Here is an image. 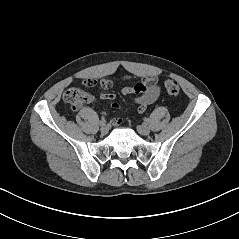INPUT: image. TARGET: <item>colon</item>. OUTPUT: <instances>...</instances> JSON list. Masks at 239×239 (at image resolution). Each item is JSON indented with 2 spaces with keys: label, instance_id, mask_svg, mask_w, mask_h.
<instances>
[{
  "label": "colon",
  "instance_id": "obj_1",
  "mask_svg": "<svg viewBox=\"0 0 239 239\" xmlns=\"http://www.w3.org/2000/svg\"><path fill=\"white\" fill-rule=\"evenodd\" d=\"M85 88L90 89L94 86V83L90 81ZM167 93L171 96H176L180 92L178 83L174 80H167L164 83ZM64 101L70 105L74 110L79 109L82 105L89 100V95L81 88H70L64 93Z\"/></svg>",
  "mask_w": 239,
  "mask_h": 239
}]
</instances>
